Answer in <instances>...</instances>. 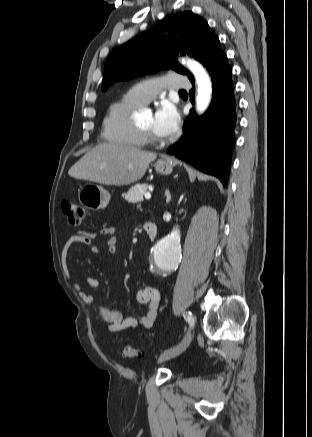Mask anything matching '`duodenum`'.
I'll use <instances>...</instances> for the list:
<instances>
[{
  "mask_svg": "<svg viewBox=\"0 0 312 437\" xmlns=\"http://www.w3.org/2000/svg\"><path fill=\"white\" fill-rule=\"evenodd\" d=\"M144 230L148 241H153L157 235V227L155 223L151 220H146L144 222Z\"/></svg>",
  "mask_w": 312,
  "mask_h": 437,
  "instance_id": "410a0bca",
  "label": "duodenum"
}]
</instances>
